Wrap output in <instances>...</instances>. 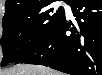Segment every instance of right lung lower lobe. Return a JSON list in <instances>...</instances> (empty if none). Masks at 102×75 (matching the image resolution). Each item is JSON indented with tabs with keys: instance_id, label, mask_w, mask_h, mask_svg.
I'll list each match as a JSON object with an SVG mask.
<instances>
[{
	"instance_id": "right-lung-lower-lobe-1",
	"label": "right lung lower lobe",
	"mask_w": 102,
	"mask_h": 75,
	"mask_svg": "<svg viewBox=\"0 0 102 75\" xmlns=\"http://www.w3.org/2000/svg\"><path fill=\"white\" fill-rule=\"evenodd\" d=\"M75 23L64 19L15 63L40 64L70 75L102 74V1L68 0ZM70 31V35L66 32Z\"/></svg>"
}]
</instances>
